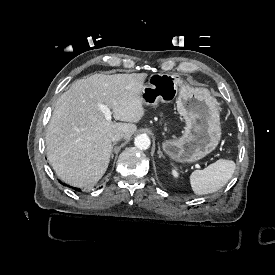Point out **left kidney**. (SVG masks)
I'll use <instances>...</instances> for the list:
<instances>
[{"label": "left kidney", "mask_w": 275, "mask_h": 275, "mask_svg": "<svg viewBox=\"0 0 275 275\" xmlns=\"http://www.w3.org/2000/svg\"><path fill=\"white\" fill-rule=\"evenodd\" d=\"M172 175L177 178L179 176V173L177 172V170L173 169L172 170Z\"/></svg>", "instance_id": "obj_1"}]
</instances>
